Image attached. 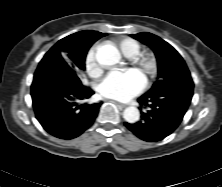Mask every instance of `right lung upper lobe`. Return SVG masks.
<instances>
[{
  "instance_id": "cb5924a9",
  "label": "right lung upper lobe",
  "mask_w": 222,
  "mask_h": 187,
  "mask_svg": "<svg viewBox=\"0 0 222 187\" xmlns=\"http://www.w3.org/2000/svg\"><path fill=\"white\" fill-rule=\"evenodd\" d=\"M106 34L105 33H100V32H97V31H91V30H85V31H80V32H77V33H74L70 36H67L63 39H61L58 43H56L51 49L52 50H58L61 46L67 44V43H70L72 41H76L78 39L80 40H87V41H93V43L98 40L99 38L105 36ZM45 59H48V60H51V59H54V58H49V57H44Z\"/></svg>"
}]
</instances>
